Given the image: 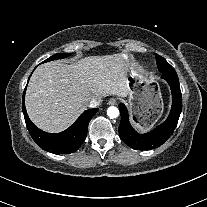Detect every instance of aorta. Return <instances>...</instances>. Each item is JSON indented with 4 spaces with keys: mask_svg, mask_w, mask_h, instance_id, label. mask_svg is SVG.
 <instances>
[{
    "mask_svg": "<svg viewBox=\"0 0 207 207\" xmlns=\"http://www.w3.org/2000/svg\"><path fill=\"white\" fill-rule=\"evenodd\" d=\"M107 115L111 118V119H114V118H117L119 116V110L117 107L115 106H110L108 109H107Z\"/></svg>",
    "mask_w": 207,
    "mask_h": 207,
    "instance_id": "762f6f07",
    "label": "aorta"
}]
</instances>
